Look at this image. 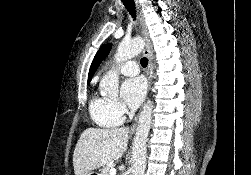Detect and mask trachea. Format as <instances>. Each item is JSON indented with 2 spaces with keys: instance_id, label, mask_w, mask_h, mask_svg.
Wrapping results in <instances>:
<instances>
[{
  "instance_id": "3493384b",
  "label": "trachea",
  "mask_w": 251,
  "mask_h": 175,
  "mask_svg": "<svg viewBox=\"0 0 251 175\" xmlns=\"http://www.w3.org/2000/svg\"><path fill=\"white\" fill-rule=\"evenodd\" d=\"M122 1H123V4L125 5V8L127 9V11L135 19V17H136V9H135L134 0H122ZM140 63H141V65L143 67H146L147 64H148V59L144 57V58L141 59Z\"/></svg>"
}]
</instances>
